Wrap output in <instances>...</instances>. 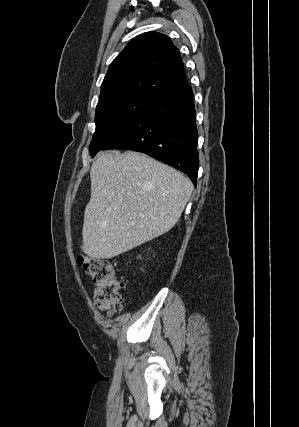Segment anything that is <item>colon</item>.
I'll return each instance as SVG.
<instances>
[{
	"label": "colon",
	"instance_id": "colon-1",
	"mask_svg": "<svg viewBox=\"0 0 299 427\" xmlns=\"http://www.w3.org/2000/svg\"><path fill=\"white\" fill-rule=\"evenodd\" d=\"M77 263L91 277L94 285V303L100 311L113 314L123 306V284L116 278L112 264L102 258L79 254Z\"/></svg>",
	"mask_w": 299,
	"mask_h": 427
}]
</instances>
